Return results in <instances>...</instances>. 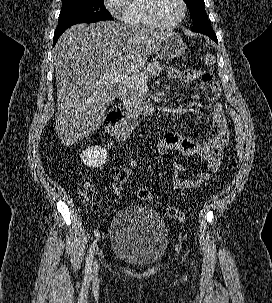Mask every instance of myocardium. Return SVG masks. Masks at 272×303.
Returning <instances> with one entry per match:
<instances>
[{
  "label": "myocardium",
  "mask_w": 272,
  "mask_h": 303,
  "mask_svg": "<svg viewBox=\"0 0 272 303\" xmlns=\"http://www.w3.org/2000/svg\"><path fill=\"white\" fill-rule=\"evenodd\" d=\"M178 1L182 9L181 16L171 24H164L158 19L156 14V6L158 0H146L145 3L146 16L149 22L152 24V26L162 30H170L178 27L185 20L187 15V4L185 0H178Z\"/></svg>",
  "instance_id": "myocardium-1"
}]
</instances>
